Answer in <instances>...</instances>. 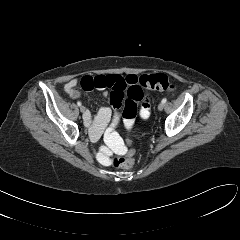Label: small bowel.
I'll return each mask as SVG.
<instances>
[{
  "mask_svg": "<svg viewBox=\"0 0 240 240\" xmlns=\"http://www.w3.org/2000/svg\"><path fill=\"white\" fill-rule=\"evenodd\" d=\"M78 81L76 79L70 80L66 85V91L72 97L78 96ZM139 85V78L134 74H129L127 76H121L116 74L111 75H97V76H84L80 81V86L85 91H90L93 89H100L107 95V89H111L109 93V98L113 110L110 108H102L95 118L88 112L84 116L85 123L90 128V134L93 139L97 140L101 137L105 131L108 123H110L109 129H114L120 122V112L119 108L122 105L125 93L131 86ZM142 98H141V108L140 117L142 119H147L150 115V102L148 96H146L141 88ZM127 127L132 125L131 122L125 120ZM121 150V149H119Z\"/></svg>",
  "mask_w": 240,
  "mask_h": 240,
  "instance_id": "obj_1",
  "label": "small bowel"
}]
</instances>
